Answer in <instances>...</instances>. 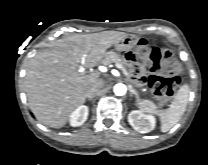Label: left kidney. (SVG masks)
I'll return each mask as SVG.
<instances>
[{
	"instance_id": "1",
	"label": "left kidney",
	"mask_w": 208,
	"mask_h": 165,
	"mask_svg": "<svg viewBox=\"0 0 208 165\" xmlns=\"http://www.w3.org/2000/svg\"><path fill=\"white\" fill-rule=\"evenodd\" d=\"M128 122L139 133H148L156 126V119L153 115L144 114L138 110L128 114Z\"/></svg>"
}]
</instances>
